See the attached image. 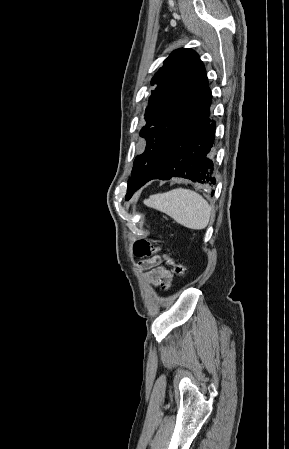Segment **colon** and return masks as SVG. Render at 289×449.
Masks as SVG:
<instances>
[{"mask_svg": "<svg viewBox=\"0 0 289 449\" xmlns=\"http://www.w3.org/2000/svg\"><path fill=\"white\" fill-rule=\"evenodd\" d=\"M133 250L137 257L146 258L156 254L160 248L155 246L151 240L139 239L134 243ZM163 259L166 264L173 268L178 276L184 277L186 275V268L182 264L176 262L169 254H164Z\"/></svg>", "mask_w": 289, "mask_h": 449, "instance_id": "colon-1", "label": "colon"}]
</instances>
